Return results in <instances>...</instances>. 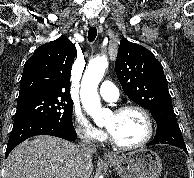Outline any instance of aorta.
I'll return each mask as SVG.
<instances>
[{"label": "aorta", "instance_id": "obj_1", "mask_svg": "<svg viewBox=\"0 0 194 178\" xmlns=\"http://www.w3.org/2000/svg\"><path fill=\"white\" fill-rule=\"evenodd\" d=\"M107 66L108 60L105 56L94 59L86 68L81 81L80 96L82 105L95 123H102L106 113V110L101 107L97 89Z\"/></svg>", "mask_w": 194, "mask_h": 178}]
</instances>
